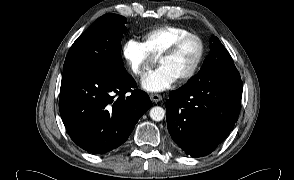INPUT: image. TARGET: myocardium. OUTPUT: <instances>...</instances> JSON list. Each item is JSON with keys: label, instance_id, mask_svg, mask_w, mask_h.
<instances>
[{"label": "myocardium", "instance_id": "myocardium-1", "mask_svg": "<svg viewBox=\"0 0 294 180\" xmlns=\"http://www.w3.org/2000/svg\"><path fill=\"white\" fill-rule=\"evenodd\" d=\"M191 39L196 40V42L198 43L199 51L192 68L183 77L177 80L181 84L190 81L200 69V66L203 62V59L205 57V51H206V47H205V43L203 39L198 34H195V33H188L186 35L180 36L177 39H175L169 45V47L165 51H163L158 57V62H159L163 58L172 56L185 42Z\"/></svg>", "mask_w": 294, "mask_h": 180}]
</instances>
